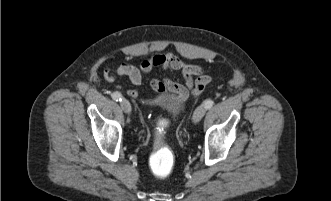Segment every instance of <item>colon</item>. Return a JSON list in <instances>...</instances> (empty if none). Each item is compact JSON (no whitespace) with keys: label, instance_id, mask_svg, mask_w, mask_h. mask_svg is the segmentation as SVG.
Here are the masks:
<instances>
[{"label":"colon","instance_id":"obj_1","mask_svg":"<svg viewBox=\"0 0 331 201\" xmlns=\"http://www.w3.org/2000/svg\"><path fill=\"white\" fill-rule=\"evenodd\" d=\"M209 82V76H200L194 85L193 93L198 96L202 93L205 86ZM165 121H160L158 124L159 132L164 130ZM174 166V156L172 151L163 144H158L150 157V167L153 174L159 178L167 177Z\"/></svg>","mask_w":331,"mask_h":201}]
</instances>
